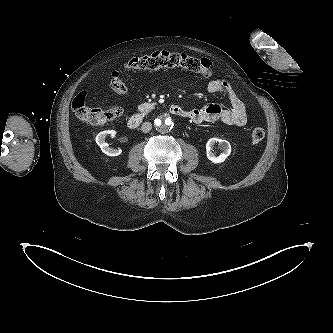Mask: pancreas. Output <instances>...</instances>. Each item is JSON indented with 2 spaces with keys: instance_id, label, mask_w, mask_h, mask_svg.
Masks as SVG:
<instances>
[{
  "instance_id": "cf45deb5",
  "label": "pancreas",
  "mask_w": 333,
  "mask_h": 333,
  "mask_svg": "<svg viewBox=\"0 0 333 333\" xmlns=\"http://www.w3.org/2000/svg\"><path fill=\"white\" fill-rule=\"evenodd\" d=\"M156 103H143L138 106V110L143 114H147L155 107Z\"/></svg>"
}]
</instances>
